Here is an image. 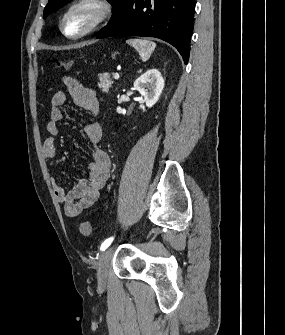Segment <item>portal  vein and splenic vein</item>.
I'll use <instances>...</instances> for the list:
<instances>
[{
    "instance_id": "1",
    "label": "portal vein and splenic vein",
    "mask_w": 285,
    "mask_h": 335,
    "mask_svg": "<svg viewBox=\"0 0 285 335\" xmlns=\"http://www.w3.org/2000/svg\"><path fill=\"white\" fill-rule=\"evenodd\" d=\"M113 78H115V80H119L120 76L119 74H114Z\"/></svg>"
}]
</instances>
